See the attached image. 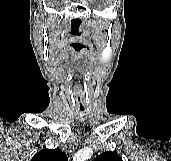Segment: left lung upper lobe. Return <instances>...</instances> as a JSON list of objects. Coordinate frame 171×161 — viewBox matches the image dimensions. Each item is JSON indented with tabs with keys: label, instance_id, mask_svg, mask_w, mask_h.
I'll return each mask as SVG.
<instances>
[{
	"label": "left lung upper lobe",
	"instance_id": "5c2ea615",
	"mask_svg": "<svg viewBox=\"0 0 171 161\" xmlns=\"http://www.w3.org/2000/svg\"><path fill=\"white\" fill-rule=\"evenodd\" d=\"M96 161H122L115 152H104L96 158Z\"/></svg>",
	"mask_w": 171,
	"mask_h": 161
}]
</instances>
